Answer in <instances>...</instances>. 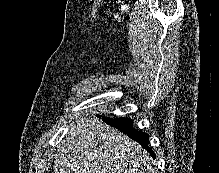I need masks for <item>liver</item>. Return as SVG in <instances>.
Instances as JSON below:
<instances>
[{"label": "liver", "instance_id": "obj_1", "mask_svg": "<svg viewBox=\"0 0 219 173\" xmlns=\"http://www.w3.org/2000/svg\"><path fill=\"white\" fill-rule=\"evenodd\" d=\"M54 173H157L135 141L98 119L76 116L59 143Z\"/></svg>", "mask_w": 219, "mask_h": 173}]
</instances>
